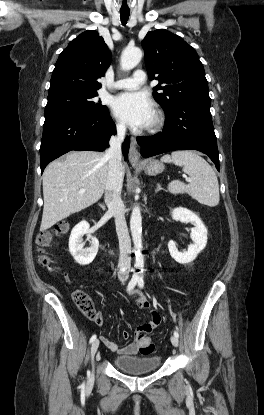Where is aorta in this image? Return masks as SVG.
<instances>
[{
    "label": "aorta",
    "instance_id": "762f6f07",
    "mask_svg": "<svg viewBox=\"0 0 264 415\" xmlns=\"http://www.w3.org/2000/svg\"><path fill=\"white\" fill-rule=\"evenodd\" d=\"M142 58V51L137 48H127L122 52L121 55V68L124 71L133 69ZM130 229L135 248V266L142 268L144 266V257L141 253L142 250V217L140 207L135 205L131 218H130Z\"/></svg>",
    "mask_w": 264,
    "mask_h": 415
}]
</instances>
